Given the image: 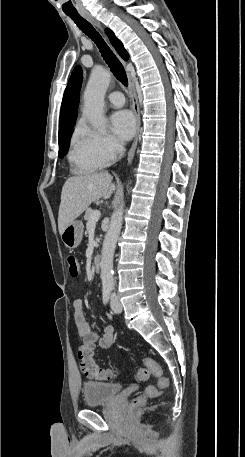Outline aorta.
<instances>
[{
    "mask_svg": "<svg viewBox=\"0 0 245 457\" xmlns=\"http://www.w3.org/2000/svg\"><path fill=\"white\" fill-rule=\"evenodd\" d=\"M111 80L110 73L101 68L95 67L91 71L89 81L84 92V115L92 126L100 129L105 124L104 118V96ZM123 207L113 213L108 231L103 241L101 252V280L103 286H113V258L118 236L121 231L123 221Z\"/></svg>",
    "mask_w": 245,
    "mask_h": 457,
    "instance_id": "obj_1",
    "label": "aorta"
}]
</instances>
